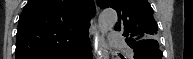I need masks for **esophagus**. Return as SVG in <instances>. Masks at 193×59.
<instances>
[{
    "label": "esophagus",
    "mask_w": 193,
    "mask_h": 59,
    "mask_svg": "<svg viewBox=\"0 0 193 59\" xmlns=\"http://www.w3.org/2000/svg\"><path fill=\"white\" fill-rule=\"evenodd\" d=\"M93 45H94L93 53H94L95 56H97V54H98V45H99V31H98L97 28L94 32Z\"/></svg>",
    "instance_id": "34e87169"
}]
</instances>
